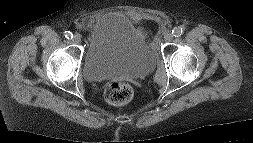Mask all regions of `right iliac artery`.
<instances>
[{"instance_id":"1","label":"right iliac artery","mask_w":253,"mask_h":143,"mask_svg":"<svg viewBox=\"0 0 253 143\" xmlns=\"http://www.w3.org/2000/svg\"><path fill=\"white\" fill-rule=\"evenodd\" d=\"M64 35H65V37H66L67 39H72V38H73V34H72V32H70V31H65Z\"/></svg>"}]
</instances>
